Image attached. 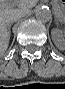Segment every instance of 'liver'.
<instances>
[{"label": "liver", "instance_id": "obj_1", "mask_svg": "<svg viewBox=\"0 0 65 89\" xmlns=\"http://www.w3.org/2000/svg\"><path fill=\"white\" fill-rule=\"evenodd\" d=\"M36 4L34 0L6 1L0 2V53L3 54L9 46L10 34L8 26L13 16L20 13L24 15ZM15 5L18 8H13ZM2 20V21H1ZM12 24V23H11Z\"/></svg>", "mask_w": 65, "mask_h": 89}]
</instances>
